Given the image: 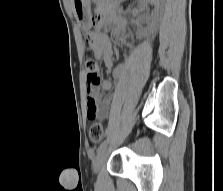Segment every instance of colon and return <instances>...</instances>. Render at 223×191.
Segmentation results:
<instances>
[{"label": "colon", "mask_w": 223, "mask_h": 191, "mask_svg": "<svg viewBox=\"0 0 223 191\" xmlns=\"http://www.w3.org/2000/svg\"><path fill=\"white\" fill-rule=\"evenodd\" d=\"M87 80L90 84L98 85L101 82L99 63L95 59H88L85 63ZM92 144L96 145L104 138V127L100 123H94L89 130Z\"/></svg>", "instance_id": "1"}]
</instances>
